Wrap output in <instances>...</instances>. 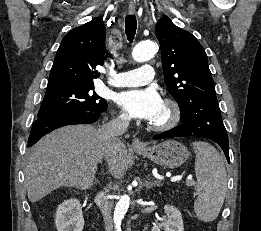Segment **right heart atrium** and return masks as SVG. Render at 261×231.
I'll return each instance as SVG.
<instances>
[{
  "mask_svg": "<svg viewBox=\"0 0 261 231\" xmlns=\"http://www.w3.org/2000/svg\"><path fill=\"white\" fill-rule=\"evenodd\" d=\"M117 123H119L120 125H126L129 121V116L128 114H126L125 112H121L117 119H116Z\"/></svg>",
  "mask_w": 261,
  "mask_h": 231,
  "instance_id": "d8ad5b80",
  "label": "right heart atrium"
}]
</instances>
